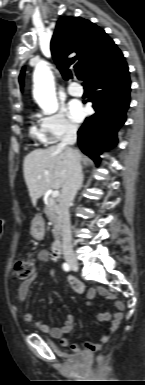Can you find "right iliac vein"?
Instances as JSON below:
<instances>
[{
	"mask_svg": "<svg viewBox=\"0 0 145 385\" xmlns=\"http://www.w3.org/2000/svg\"><path fill=\"white\" fill-rule=\"evenodd\" d=\"M67 262L69 264V266L74 270V271H78L79 270V264L77 262V260L73 257H68L67 259Z\"/></svg>",
	"mask_w": 145,
	"mask_h": 385,
	"instance_id": "right-iliac-vein-1",
	"label": "right iliac vein"
}]
</instances>
